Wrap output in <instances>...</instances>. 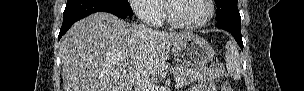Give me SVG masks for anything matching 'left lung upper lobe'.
<instances>
[{
    "instance_id": "1",
    "label": "left lung upper lobe",
    "mask_w": 304,
    "mask_h": 91,
    "mask_svg": "<svg viewBox=\"0 0 304 91\" xmlns=\"http://www.w3.org/2000/svg\"><path fill=\"white\" fill-rule=\"evenodd\" d=\"M238 0H215L217 6L216 21L222 20L230 15L239 13Z\"/></svg>"
}]
</instances>
